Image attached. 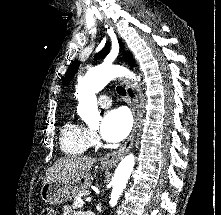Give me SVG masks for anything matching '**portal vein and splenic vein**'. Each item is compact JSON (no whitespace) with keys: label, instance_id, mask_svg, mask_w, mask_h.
<instances>
[{"label":"portal vein and splenic vein","instance_id":"18ae733b","mask_svg":"<svg viewBox=\"0 0 221 215\" xmlns=\"http://www.w3.org/2000/svg\"><path fill=\"white\" fill-rule=\"evenodd\" d=\"M91 200H92L91 197H87V198L85 199L86 202H90Z\"/></svg>","mask_w":221,"mask_h":215}]
</instances>
